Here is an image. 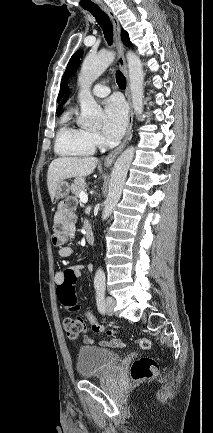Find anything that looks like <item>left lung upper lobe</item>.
<instances>
[{
    "label": "left lung upper lobe",
    "mask_w": 213,
    "mask_h": 433,
    "mask_svg": "<svg viewBox=\"0 0 213 433\" xmlns=\"http://www.w3.org/2000/svg\"><path fill=\"white\" fill-rule=\"evenodd\" d=\"M121 37H122L123 43L126 46L129 47L132 45L130 40H129V36H128L127 32L122 31ZM82 55H83V51H77L76 53L73 54V56L69 60V63L67 65V68H66V70L63 74L62 80H61V87H60V92L58 95V101H60V99L62 98V96L66 90L67 81H68L69 77L78 68L79 63H80V59L82 58Z\"/></svg>",
    "instance_id": "5c2ea615"
}]
</instances>
